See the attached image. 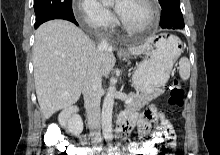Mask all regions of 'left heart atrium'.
<instances>
[{"mask_svg": "<svg viewBox=\"0 0 220 155\" xmlns=\"http://www.w3.org/2000/svg\"><path fill=\"white\" fill-rule=\"evenodd\" d=\"M122 10H123V4H121V5H119V6L117 7V12H118L119 14H121Z\"/></svg>", "mask_w": 220, "mask_h": 155, "instance_id": "1", "label": "left heart atrium"}]
</instances>
